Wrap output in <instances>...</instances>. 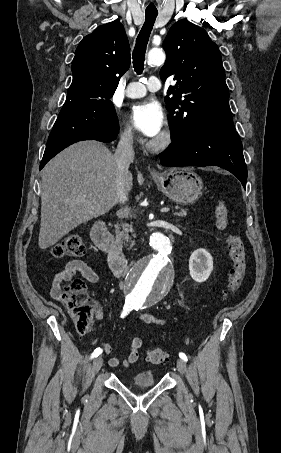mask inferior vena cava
Listing matches in <instances>:
<instances>
[{
	"label": "inferior vena cava",
	"mask_w": 281,
	"mask_h": 453,
	"mask_svg": "<svg viewBox=\"0 0 281 453\" xmlns=\"http://www.w3.org/2000/svg\"><path fill=\"white\" fill-rule=\"evenodd\" d=\"M114 158L117 164L116 170V188H117V198L118 202H125L128 200V192L125 190L127 184L128 168L130 162L134 158V148H133V134L126 130L123 132L117 148L114 152Z\"/></svg>",
	"instance_id": "obj_1"
}]
</instances>
